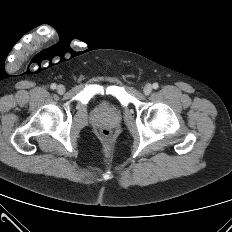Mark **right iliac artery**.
<instances>
[{"mask_svg":"<svg viewBox=\"0 0 232 232\" xmlns=\"http://www.w3.org/2000/svg\"><path fill=\"white\" fill-rule=\"evenodd\" d=\"M50 87H51V89H53V90H54V89H56V84H55V83H53V84H51V86H50Z\"/></svg>","mask_w":232,"mask_h":232,"instance_id":"1","label":"right iliac artery"}]
</instances>
